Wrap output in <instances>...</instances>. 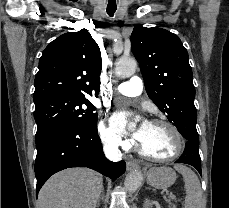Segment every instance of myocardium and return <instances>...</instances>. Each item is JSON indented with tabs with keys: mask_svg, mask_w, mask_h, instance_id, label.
Segmentation results:
<instances>
[{
	"mask_svg": "<svg viewBox=\"0 0 229 208\" xmlns=\"http://www.w3.org/2000/svg\"><path fill=\"white\" fill-rule=\"evenodd\" d=\"M149 123L160 124V125H164V126L171 128L172 130H170V135H171L173 146L181 147V148L175 154L170 155L168 157H151L150 156L151 152H146V148L143 147V144L140 141L139 148H140L141 153L145 157H147L148 159L154 162L165 163V162H171V161L178 159L183 154V152L185 151L187 147V138L185 134L181 131V129L174 123L168 120H164V119H153ZM181 140H182V145H181Z\"/></svg>",
	"mask_w": 229,
	"mask_h": 208,
	"instance_id": "f54148a6",
	"label": "myocardium"
}]
</instances>
